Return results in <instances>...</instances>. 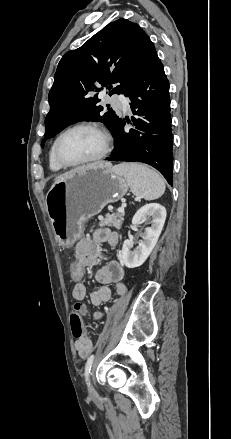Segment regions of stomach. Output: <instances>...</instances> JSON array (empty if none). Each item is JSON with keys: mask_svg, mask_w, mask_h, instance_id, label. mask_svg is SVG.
Masks as SVG:
<instances>
[{"mask_svg": "<svg viewBox=\"0 0 231 439\" xmlns=\"http://www.w3.org/2000/svg\"><path fill=\"white\" fill-rule=\"evenodd\" d=\"M128 187L125 177L107 162L55 181L46 195V208L59 245L71 247L82 235L84 223L122 199Z\"/></svg>", "mask_w": 231, "mask_h": 439, "instance_id": "stomach-1", "label": "stomach"}]
</instances>
